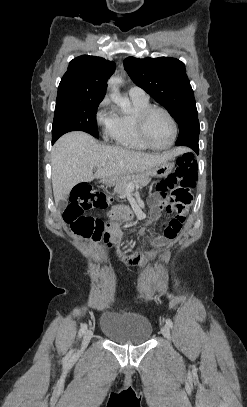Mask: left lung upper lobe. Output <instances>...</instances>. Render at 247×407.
Returning a JSON list of instances; mask_svg holds the SVG:
<instances>
[{
  "label": "left lung upper lobe",
  "instance_id": "5c2ea615",
  "mask_svg": "<svg viewBox=\"0 0 247 407\" xmlns=\"http://www.w3.org/2000/svg\"><path fill=\"white\" fill-rule=\"evenodd\" d=\"M124 68L134 83L164 106L179 126L177 146L198 144L196 102L184 64L175 58L128 57Z\"/></svg>",
  "mask_w": 247,
  "mask_h": 407
}]
</instances>
